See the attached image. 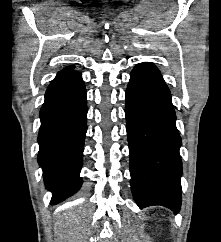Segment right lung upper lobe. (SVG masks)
<instances>
[{"label":"right lung upper lobe","instance_id":"obj_1","mask_svg":"<svg viewBox=\"0 0 221 242\" xmlns=\"http://www.w3.org/2000/svg\"><path fill=\"white\" fill-rule=\"evenodd\" d=\"M74 67H75V66L67 67V68L63 69L62 71H60V72L57 74V77H58V76H61V75H63V74H66V73H68V72H71V71H72V68H74Z\"/></svg>","mask_w":221,"mask_h":242}]
</instances>
